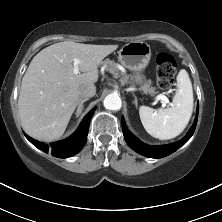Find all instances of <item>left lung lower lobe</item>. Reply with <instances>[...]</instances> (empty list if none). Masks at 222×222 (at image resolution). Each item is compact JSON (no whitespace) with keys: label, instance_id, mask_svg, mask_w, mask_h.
Segmentation results:
<instances>
[{"label":"left lung lower lobe","instance_id":"obj_1","mask_svg":"<svg viewBox=\"0 0 222 222\" xmlns=\"http://www.w3.org/2000/svg\"><path fill=\"white\" fill-rule=\"evenodd\" d=\"M198 111H199V105L197 106V114H198ZM197 119H198V116H196L194 124L190 128V131L188 132V134L181 141L174 142L168 145H163V146H149L142 143L126 128L124 119L121 120V123H122L124 138L127 144L133 150H135L137 153L146 157L162 158L175 152L177 149H179L182 145H184L191 138L196 128Z\"/></svg>","mask_w":222,"mask_h":222}]
</instances>
